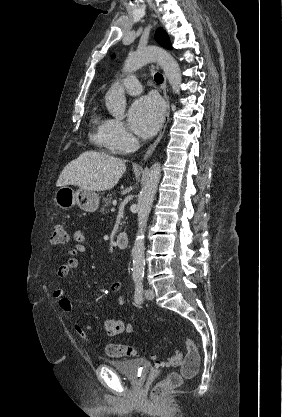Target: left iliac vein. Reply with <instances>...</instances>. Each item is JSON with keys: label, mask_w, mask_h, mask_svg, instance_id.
Wrapping results in <instances>:
<instances>
[{"label": "left iliac vein", "mask_w": 282, "mask_h": 417, "mask_svg": "<svg viewBox=\"0 0 282 417\" xmlns=\"http://www.w3.org/2000/svg\"><path fill=\"white\" fill-rule=\"evenodd\" d=\"M155 294L154 291L152 289H147L145 291V298L148 300H152L154 298Z\"/></svg>", "instance_id": "4c4485c4"}]
</instances>
